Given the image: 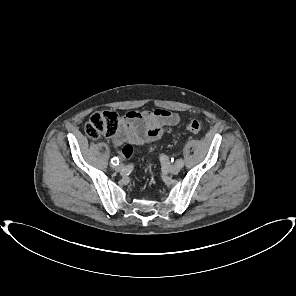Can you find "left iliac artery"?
<instances>
[{"label":"left iliac artery","mask_w":296,"mask_h":296,"mask_svg":"<svg viewBox=\"0 0 296 296\" xmlns=\"http://www.w3.org/2000/svg\"><path fill=\"white\" fill-rule=\"evenodd\" d=\"M177 164L180 165L181 167H183V166H184V161H183V159H179V160L177 161Z\"/></svg>","instance_id":"1"}]
</instances>
